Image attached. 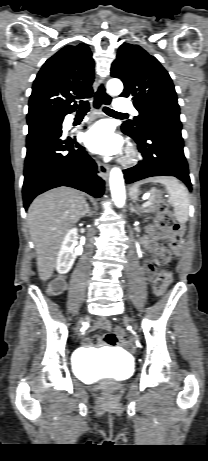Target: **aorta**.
Instances as JSON below:
<instances>
[{"label": "aorta", "mask_w": 208, "mask_h": 461, "mask_svg": "<svg viewBox=\"0 0 208 461\" xmlns=\"http://www.w3.org/2000/svg\"><path fill=\"white\" fill-rule=\"evenodd\" d=\"M123 90V84L119 79H110L107 83V91L111 96H118ZM109 184L112 200L118 208L125 204V186L123 173L120 168L114 167L110 171Z\"/></svg>", "instance_id": "obj_1"}]
</instances>
